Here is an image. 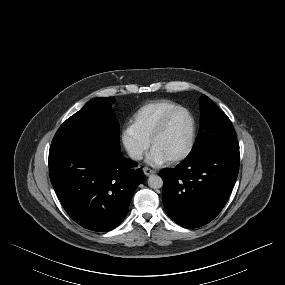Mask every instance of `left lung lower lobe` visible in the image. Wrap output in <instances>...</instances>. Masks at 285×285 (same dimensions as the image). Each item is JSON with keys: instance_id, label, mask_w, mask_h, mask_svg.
I'll return each instance as SVG.
<instances>
[{"instance_id": "0a47b994", "label": "left lung lower lobe", "mask_w": 285, "mask_h": 285, "mask_svg": "<svg viewBox=\"0 0 285 285\" xmlns=\"http://www.w3.org/2000/svg\"><path fill=\"white\" fill-rule=\"evenodd\" d=\"M239 170V150L184 160L161 171L162 199L168 216L184 228L212 221L225 206Z\"/></svg>"}]
</instances>
